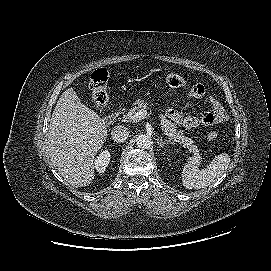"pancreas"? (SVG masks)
Instances as JSON below:
<instances>
[{"instance_id":"obj_1","label":"pancreas","mask_w":271,"mask_h":271,"mask_svg":"<svg viewBox=\"0 0 271 271\" xmlns=\"http://www.w3.org/2000/svg\"><path fill=\"white\" fill-rule=\"evenodd\" d=\"M147 102L143 100H136L133 103V107L123 115V120L125 122L135 121L134 115L141 109H147ZM160 125L164 133L169 137L172 142H178L183 146V148H187L190 153H193V158H191L195 164L199 165L200 160L202 159L201 154L199 153V149L196 145H194V141L191 138L185 137L183 131H178L177 127L174 123H172L169 119L166 118L165 114L159 115Z\"/></svg>"}]
</instances>
